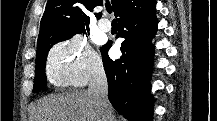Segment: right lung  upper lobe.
I'll list each match as a JSON object with an SVG mask.
<instances>
[{
  "label": "right lung upper lobe",
  "mask_w": 217,
  "mask_h": 121,
  "mask_svg": "<svg viewBox=\"0 0 217 121\" xmlns=\"http://www.w3.org/2000/svg\"><path fill=\"white\" fill-rule=\"evenodd\" d=\"M111 3L118 16L129 1L111 0ZM99 5H102V0H48L40 22L37 45L87 29L90 22L87 11H93ZM95 16L99 19L101 13H95Z\"/></svg>",
  "instance_id": "obj_1"
}]
</instances>
